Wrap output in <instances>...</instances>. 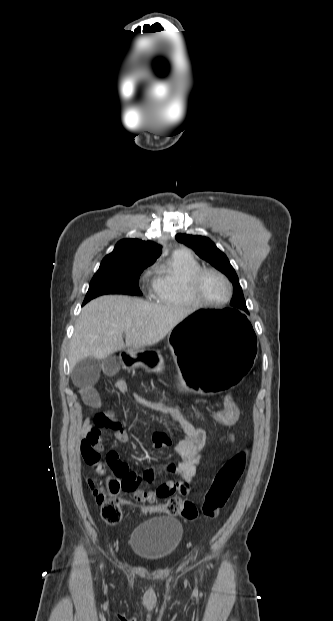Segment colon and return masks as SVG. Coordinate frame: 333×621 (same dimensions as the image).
Masks as SVG:
<instances>
[{"label":"colon","instance_id":"5ec220e1","mask_svg":"<svg viewBox=\"0 0 333 621\" xmlns=\"http://www.w3.org/2000/svg\"><path fill=\"white\" fill-rule=\"evenodd\" d=\"M127 395L131 396L140 406L155 412L166 414L174 420L190 421L196 413L185 407L181 402L167 396L141 392L124 381ZM239 407L233 394L229 393L222 406L213 411L210 418L216 424L229 426L237 421ZM246 451H240L231 457L218 471L210 488L206 492L202 504V513L207 518H216L221 509L228 502L236 484L241 478L246 466ZM104 465L98 468L103 472ZM113 474L106 477L105 482L89 478L88 484L93 491L96 503L100 506L101 518L108 524H117L122 519V500L118 497L121 491H133L138 482L135 472L126 468H111ZM152 512H163L169 515H179L182 518L194 521L198 517L196 505L180 498H171L166 503L152 506Z\"/></svg>","mask_w":333,"mask_h":621}]
</instances>
